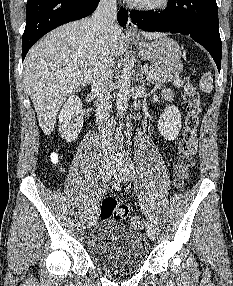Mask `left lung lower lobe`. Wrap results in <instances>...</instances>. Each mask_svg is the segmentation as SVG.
I'll use <instances>...</instances> for the list:
<instances>
[{
  "mask_svg": "<svg viewBox=\"0 0 233 286\" xmlns=\"http://www.w3.org/2000/svg\"><path fill=\"white\" fill-rule=\"evenodd\" d=\"M130 18L144 31L191 37L211 54L220 71L222 44L216 0H169L161 12L132 11Z\"/></svg>",
  "mask_w": 233,
  "mask_h": 286,
  "instance_id": "left-lung-lower-lobe-1",
  "label": "left lung lower lobe"
}]
</instances>
